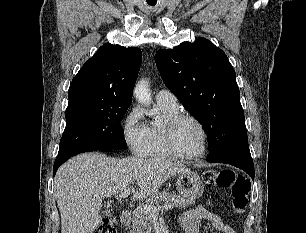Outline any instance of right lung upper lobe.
<instances>
[{
	"mask_svg": "<svg viewBox=\"0 0 306 233\" xmlns=\"http://www.w3.org/2000/svg\"><path fill=\"white\" fill-rule=\"evenodd\" d=\"M141 62L138 48L104 44L73 78L69 104L87 100L130 105Z\"/></svg>",
	"mask_w": 306,
	"mask_h": 233,
	"instance_id": "right-lung-upper-lobe-1",
	"label": "right lung upper lobe"
}]
</instances>
